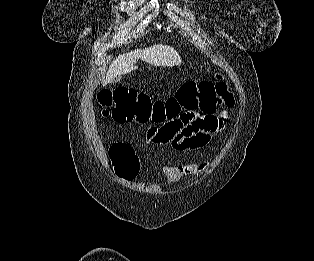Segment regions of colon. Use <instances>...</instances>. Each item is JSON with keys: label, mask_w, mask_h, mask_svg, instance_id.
Wrapping results in <instances>:
<instances>
[{"label": "colon", "mask_w": 314, "mask_h": 261, "mask_svg": "<svg viewBox=\"0 0 314 261\" xmlns=\"http://www.w3.org/2000/svg\"><path fill=\"white\" fill-rule=\"evenodd\" d=\"M215 78V82L186 81L166 100L154 99L145 92L126 87L101 90L98 100L103 108L102 114L118 123L161 125L164 120H173V116L184 113L185 109H207L210 112L218 105L228 103L232 96L222 75L216 74ZM110 154L119 176L130 180L137 175L139 162L132 147L118 143L111 147Z\"/></svg>", "instance_id": "obj_1"}]
</instances>
